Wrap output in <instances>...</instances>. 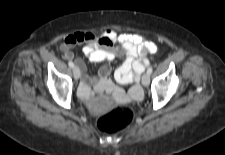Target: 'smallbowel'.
<instances>
[{"label":"small bowel","mask_w":225,"mask_h":155,"mask_svg":"<svg viewBox=\"0 0 225 155\" xmlns=\"http://www.w3.org/2000/svg\"><path fill=\"white\" fill-rule=\"evenodd\" d=\"M77 45H83L85 56L94 63L123 57L122 64L115 71V80L121 85H132L130 90L125 92L111 81L110 67L103 66L93 78L83 75L79 88L82 99L91 101L94 94L103 93L111 94V101L121 104L141 99L142 91L138 81L140 74L149 64L148 56L157 51V46L153 42L138 34H118L112 29H107L100 35L76 32L66 36L60 43V50L66 59H74L72 49ZM75 62L82 71H85L86 66L82 59L77 58Z\"/></svg>","instance_id":"1"}]
</instances>
